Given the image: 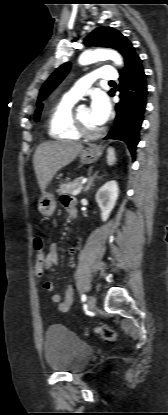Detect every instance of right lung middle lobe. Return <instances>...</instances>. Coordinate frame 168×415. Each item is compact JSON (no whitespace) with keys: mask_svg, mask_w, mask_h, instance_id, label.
Here are the masks:
<instances>
[{"mask_svg":"<svg viewBox=\"0 0 168 415\" xmlns=\"http://www.w3.org/2000/svg\"><path fill=\"white\" fill-rule=\"evenodd\" d=\"M39 117H40V113L35 114V121H38L39 120Z\"/></svg>","mask_w":168,"mask_h":415,"instance_id":"obj_1","label":"right lung middle lobe"}]
</instances>
